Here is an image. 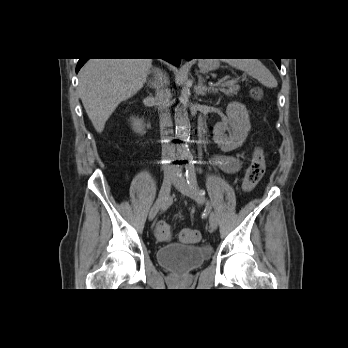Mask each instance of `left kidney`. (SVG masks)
I'll return each mask as SVG.
<instances>
[{"instance_id": "5707ae66", "label": "left kidney", "mask_w": 348, "mask_h": 348, "mask_svg": "<svg viewBox=\"0 0 348 348\" xmlns=\"http://www.w3.org/2000/svg\"><path fill=\"white\" fill-rule=\"evenodd\" d=\"M227 120L213 128V140L223 152L241 147L251 129L248 111L242 103L232 102L226 109ZM229 132V135L225 134Z\"/></svg>"}]
</instances>
